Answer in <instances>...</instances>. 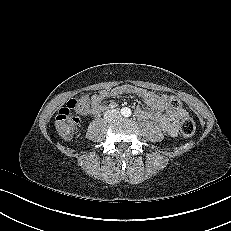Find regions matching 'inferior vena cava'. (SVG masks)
I'll return each mask as SVG.
<instances>
[{
  "instance_id": "1",
  "label": "inferior vena cava",
  "mask_w": 231,
  "mask_h": 231,
  "mask_svg": "<svg viewBox=\"0 0 231 231\" xmlns=\"http://www.w3.org/2000/svg\"><path fill=\"white\" fill-rule=\"evenodd\" d=\"M109 115L116 118L120 115V113L117 109H112V110H108L107 112H105L104 116H105V118H107Z\"/></svg>"
}]
</instances>
